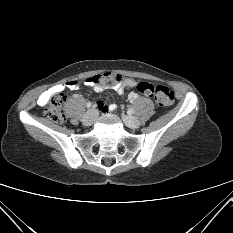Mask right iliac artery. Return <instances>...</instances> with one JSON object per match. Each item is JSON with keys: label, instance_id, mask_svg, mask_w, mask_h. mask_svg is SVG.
<instances>
[{"label": "right iliac artery", "instance_id": "obj_1", "mask_svg": "<svg viewBox=\"0 0 233 233\" xmlns=\"http://www.w3.org/2000/svg\"><path fill=\"white\" fill-rule=\"evenodd\" d=\"M92 106V103L91 102H88L87 104H86V107L87 108H90Z\"/></svg>", "mask_w": 233, "mask_h": 233}]
</instances>
